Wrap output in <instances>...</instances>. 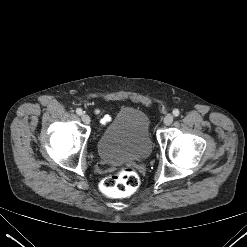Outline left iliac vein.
Segmentation results:
<instances>
[{
	"instance_id": "left-iliac-vein-1",
	"label": "left iliac vein",
	"mask_w": 247,
	"mask_h": 247,
	"mask_svg": "<svg viewBox=\"0 0 247 247\" xmlns=\"http://www.w3.org/2000/svg\"><path fill=\"white\" fill-rule=\"evenodd\" d=\"M173 122V115L167 114L164 118V124L165 125H170Z\"/></svg>"
}]
</instances>
